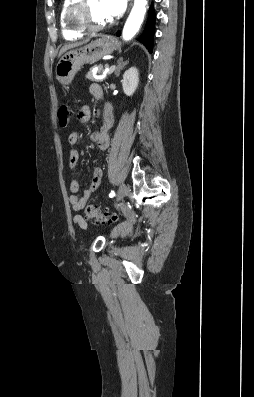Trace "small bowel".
Masks as SVG:
<instances>
[{
	"label": "small bowel",
	"mask_w": 254,
	"mask_h": 397,
	"mask_svg": "<svg viewBox=\"0 0 254 397\" xmlns=\"http://www.w3.org/2000/svg\"><path fill=\"white\" fill-rule=\"evenodd\" d=\"M90 93L93 97L97 99L103 98V89L102 87L97 84L93 83L90 86ZM91 118V110L90 107L84 105L80 108L78 112V121L81 124L87 123ZM114 122L113 112L110 104L106 103L103 111V124L99 131L94 132L91 135V140L97 145V148L100 152H104L109 147V135L108 131L112 127ZM80 141V135L78 132H71L68 137V142L71 146H76ZM79 160V152L76 148H72L70 150L69 155V167L74 169ZM102 177V169L99 166H96L93 170L91 180L88 186L85 188L83 195H79L80 184L79 182L73 178L70 181V191L72 195L69 197V202L75 211H79L83 209L90 198V196L94 193V191L99 187L100 181ZM73 221L76 225H78L82 229L87 228V223L85 219L80 216L76 215L73 218ZM132 229V225L130 222H123L118 225L112 232V236H117L119 233L123 235H127L130 233Z\"/></svg>",
	"instance_id": "c3829d8e"
}]
</instances>
